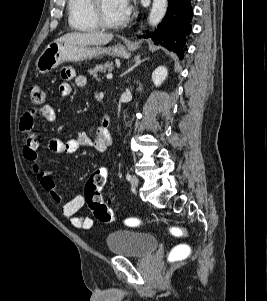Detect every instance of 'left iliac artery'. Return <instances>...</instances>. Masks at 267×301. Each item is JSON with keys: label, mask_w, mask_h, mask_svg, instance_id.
Masks as SVG:
<instances>
[{"label": "left iliac artery", "mask_w": 267, "mask_h": 301, "mask_svg": "<svg viewBox=\"0 0 267 301\" xmlns=\"http://www.w3.org/2000/svg\"><path fill=\"white\" fill-rule=\"evenodd\" d=\"M126 179L129 181V180H131V175L130 174H127L126 175Z\"/></svg>", "instance_id": "44dca946"}]
</instances>
